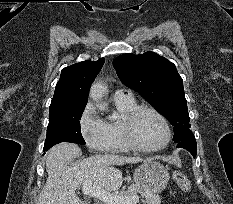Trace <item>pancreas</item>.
<instances>
[{"mask_svg": "<svg viewBox=\"0 0 233 204\" xmlns=\"http://www.w3.org/2000/svg\"><path fill=\"white\" fill-rule=\"evenodd\" d=\"M137 194L144 198L141 200L143 204H161V197L157 193L145 190L136 184L129 186L128 189H123L119 195L131 198Z\"/></svg>", "mask_w": 233, "mask_h": 204, "instance_id": "cf45deb5", "label": "pancreas"}]
</instances>
